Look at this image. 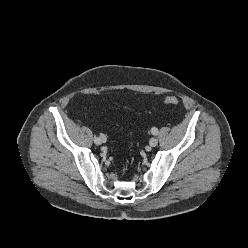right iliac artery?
I'll return each instance as SVG.
<instances>
[{"mask_svg": "<svg viewBox=\"0 0 248 248\" xmlns=\"http://www.w3.org/2000/svg\"><path fill=\"white\" fill-rule=\"evenodd\" d=\"M92 139L95 145H100V140L95 135L92 137Z\"/></svg>", "mask_w": 248, "mask_h": 248, "instance_id": "82829eb1", "label": "right iliac artery"}]
</instances>
